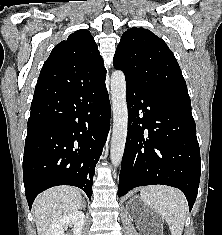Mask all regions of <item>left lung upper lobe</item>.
Listing matches in <instances>:
<instances>
[{
	"instance_id": "1",
	"label": "left lung upper lobe",
	"mask_w": 222,
	"mask_h": 235,
	"mask_svg": "<svg viewBox=\"0 0 222 235\" xmlns=\"http://www.w3.org/2000/svg\"><path fill=\"white\" fill-rule=\"evenodd\" d=\"M113 65L124 72L126 83L191 109L186 82L174 54L150 30L133 27L125 31Z\"/></svg>"
}]
</instances>
